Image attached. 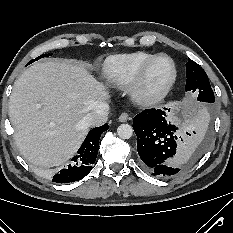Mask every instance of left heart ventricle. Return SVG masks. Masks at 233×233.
Returning a JSON list of instances; mask_svg holds the SVG:
<instances>
[{"label": "left heart ventricle", "instance_id": "obj_1", "mask_svg": "<svg viewBox=\"0 0 233 233\" xmlns=\"http://www.w3.org/2000/svg\"><path fill=\"white\" fill-rule=\"evenodd\" d=\"M172 72L171 64L167 59H160L149 70L145 89L153 91L161 87L170 77Z\"/></svg>", "mask_w": 233, "mask_h": 233}]
</instances>
